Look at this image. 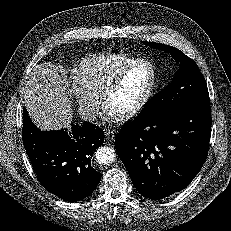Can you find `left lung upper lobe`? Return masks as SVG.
Returning a JSON list of instances; mask_svg holds the SVG:
<instances>
[{"label": "left lung upper lobe", "instance_id": "5c2ea615", "mask_svg": "<svg viewBox=\"0 0 231 231\" xmlns=\"http://www.w3.org/2000/svg\"><path fill=\"white\" fill-rule=\"evenodd\" d=\"M144 44L170 53L180 63V68L172 82L147 103L139 118L154 119L190 104L210 102L206 81L192 59L169 45L156 42Z\"/></svg>", "mask_w": 231, "mask_h": 231}]
</instances>
